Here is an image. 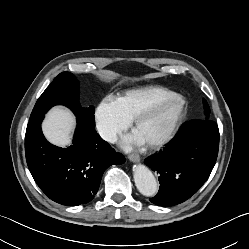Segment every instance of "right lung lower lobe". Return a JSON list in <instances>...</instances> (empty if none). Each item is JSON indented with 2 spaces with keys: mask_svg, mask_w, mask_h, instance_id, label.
<instances>
[{
  "mask_svg": "<svg viewBox=\"0 0 249 249\" xmlns=\"http://www.w3.org/2000/svg\"><path fill=\"white\" fill-rule=\"evenodd\" d=\"M43 118L29 120L25 135L26 161L35 182L57 203L77 206L91 201L103 172L124 163L125 157L96 133L95 126L78 118L72 145L54 146L42 134Z\"/></svg>",
  "mask_w": 249,
  "mask_h": 249,
  "instance_id": "1",
  "label": "right lung lower lobe"
}]
</instances>
